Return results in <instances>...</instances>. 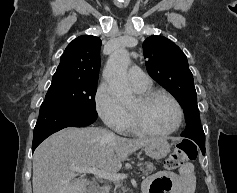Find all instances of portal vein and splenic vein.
<instances>
[{
	"label": "portal vein and splenic vein",
	"instance_id": "1",
	"mask_svg": "<svg viewBox=\"0 0 237 193\" xmlns=\"http://www.w3.org/2000/svg\"><path fill=\"white\" fill-rule=\"evenodd\" d=\"M74 170L79 174L92 173L95 176H98V177H101L104 179H108V180H112V181H120V180L127 178L126 174L106 172V171L99 170L96 167L74 168Z\"/></svg>",
	"mask_w": 237,
	"mask_h": 193
}]
</instances>
